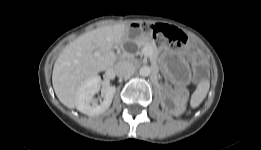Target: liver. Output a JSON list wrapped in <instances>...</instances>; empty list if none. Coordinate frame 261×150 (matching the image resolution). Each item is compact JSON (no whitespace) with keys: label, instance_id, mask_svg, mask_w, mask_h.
I'll return each mask as SVG.
<instances>
[{"label":"liver","instance_id":"obj_1","mask_svg":"<svg viewBox=\"0 0 261 150\" xmlns=\"http://www.w3.org/2000/svg\"><path fill=\"white\" fill-rule=\"evenodd\" d=\"M128 34L127 24L104 26L82 34L64 48L52 73L55 94L63 105L76 107L78 86L114 65L116 55L112 47L124 42Z\"/></svg>","mask_w":261,"mask_h":150}]
</instances>
